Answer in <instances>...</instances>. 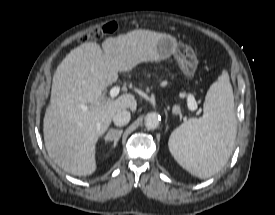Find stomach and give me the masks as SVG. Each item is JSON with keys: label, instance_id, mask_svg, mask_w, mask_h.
<instances>
[{"label": "stomach", "instance_id": "stomach-1", "mask_svg": "<svg viewBox=\"0 0 275 215\" xmlns=\"http://www.w3.org/2000/svg\"><path fill=\"white\" fill-rule=\"evenodd\" d=\"M156 53L158 60H164L173 56L184 76L188 79L194 77L198 60L191 47L179 43L170 35H165L158 39Z\"/></svg>", "mask_w": 275, "mask_h": 215}]
</instances>
